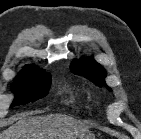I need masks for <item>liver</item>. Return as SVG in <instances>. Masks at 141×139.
<instances>
[{"label": "liver", "instance_id": "obj_1", "mask_svg": "<svg viewBox=\"0 0 141 139\" xmlns=\"http://www.w3.org/2000/svg\"><path fill=\"white\" fill-rule=\"evenodd\" d=\"M12 122L0 133V139H77L89 132L85 124L65 114L23 113Z\"/></svg>", "mask_w": 141, "mask_h": 139}]
</instances>
